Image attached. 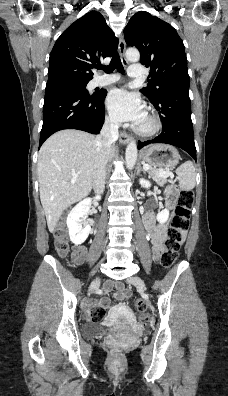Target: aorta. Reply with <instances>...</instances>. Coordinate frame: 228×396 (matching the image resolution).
I'll return each mask as SVG.
<instances>
[{
    "mask_svg": "<svg viewBox=\"0 0 228 396\" xmlns=\"http://www.w3.org/2000/svg\"><path fill=\"white\" fill-rule=\"evenodd\" d=\"M126 59L131 62H137L140 59V53L137 49L130 48L126 51ZM126 167L128 170H132L137 160V145L134 141H131L126 148L125 153Z\"/></svg>",
    "mask_w": 228,
    "mask_h": 396,
    "instance_id": "obj_1",
    "label": "aorta"
}]
</instances>
